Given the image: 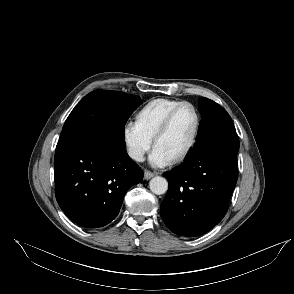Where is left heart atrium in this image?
<instances>
[{
	"label": "left heart atrium",
	"mask_w": 294,
	"mask_h": 294,
	"mask_svg": "<svg viewBox=\"0 0 294 294\" xmlns=\"http://www.w3.org/2000/svg\"><path fill=\"white\" fill-rule=\"evenodd\" d=\"M172 160L166 156L160 149L154 148L150 155V163L156 167H164L169 165Z\"/></svg>",
	"instance_id": "39dd6f15"
}]
</instances>
